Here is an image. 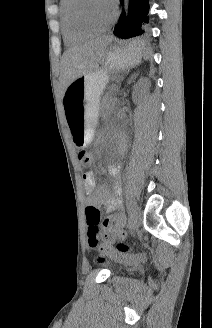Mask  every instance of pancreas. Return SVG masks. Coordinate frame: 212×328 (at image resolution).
<instances>
[{"instance_id": "1", "label": "pancreas", "mask_w": 212, "mask_h": 328, "mask_svg": "<svg viewBox=\"0 0 212 328\" xmlns=\"http://www.w3.org/2000/svg\"><path fill=\"white\" fill-rule=\"evenodd\" d=\"M102 106L105 109H112L113 106H114L113 103H112V99L110 97H105L103 99Z\"/></svg>"}]
</instances>
